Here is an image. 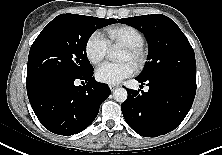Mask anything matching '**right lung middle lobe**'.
I'll use <instances>...</instances> for the list:
<instances>
[{"label":"right lung middle lobe","mask_w":222,"mask_h":155,"mask_svg":"<svg viewBox=\"0 0 222 155\" xmlns=\"http://www.w3.org/2000/svg\"><path fill=\"white\" fill-rule=\"evenodd\" d=\"M117 23L77 14H61L41 31L31 46L27 66V93L52 83L80 77L93 69L86 55L90 36Z\"/></svg>","instance_id":"right-lung-middle-lobe-1"}]
</instances>
